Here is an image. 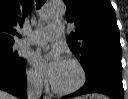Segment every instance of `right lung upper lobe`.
Instances as JSON below:
<instances>
[{
  "label": "right lung upper lobe",
  "instance_id": "1",
  "mask_svg": "<svg viewBox=\"0 0 128 99\" xmlns=\"http://www.w3.org/2000/svg\"><path fill=\"white\" fill-rule=\"evenodd\" d=\"M33 0H0V43H14V35L20 37L15 26H22L29 14Z\"/></svg>",
  "mask_w": 128,
  "mask_h": 99
}]
</instances>
